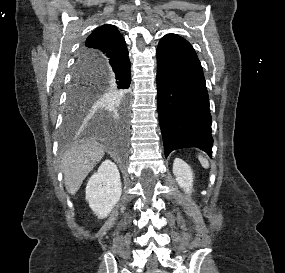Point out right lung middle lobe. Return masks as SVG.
I'll use <instances>...</instances> for the list:
<instances>
[{
	"label": "right lung middle lobe",
	"instance_id": "1",
	"mask_svg": "<svg viewBox=\"0 0 285 273\" xmlns=\"http://www.w3.org/2000/svg\"><path fill=\"white\" fill-rule=\"evenodd\" d=\"M116 96L124 101L125 91H117L109 86L104 88L100 75L93 72H82L75 67L68 91L64 117V128L73 129L88 113V110L103 95Z\"/></svg>",
	"mask_w": 285,
	"mask_h": 273
}]
</instances>
